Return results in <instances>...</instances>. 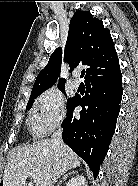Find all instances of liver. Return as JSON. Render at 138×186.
I'll use <instances>...</instances> for the list:
<instances>
[{"label": "liver", "instance_id": "6515ba94", "mask_svg": "<svg viewBox=\"0 0 138 186\" xmlns=\"http://www.w3.org/2000/svg\"><path fill=\"white\" fill-rule=\"evenodd\" d=\"M79 165L80 158L67 145L56 149L48 139L36 141L10 153L4 169L3 186H33L26 182L28 177L21 180L29 172H34L46 186H51L56 172L60 177Z\"/></svg>", "mask_w": 138, "mask_h": 186}]
</instances>
